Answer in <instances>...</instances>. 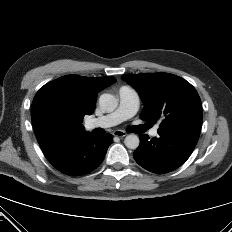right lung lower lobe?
I'll return each mask as SVG.
<instances>
[{
    "label": "right lung lower lobe",
    "instance_id": "right-lung-lower-lobe-1",
    "mask_svg": "<svg viewBox=\"0 0 232 232\" xmlns=\"http://www.w3.org/2000/svg\"><path fill=\"white\" fill-rule=\"evenodd\" d=\"M112 140L111 134L96 136L88 132L74 136H54L40 147L57 170L70 176H79L100 165Z\"/></svg>",
    "mask_w": 232,
    "mask_h": 232
}]
</instances>
